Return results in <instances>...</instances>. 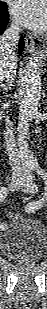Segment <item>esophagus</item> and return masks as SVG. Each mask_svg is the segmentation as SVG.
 <instances>
[{
    "mask_svg": "<svg viewBox=\"0 0 47 309\" xmlns=\"http://www.w3.org/2000/svg\"><path fill=\"white\" fill-rule=\"evenodd\" d=\"M35 48V41L32 36H27L25 38V50L28 53H32Z\"/></svg>",
    "mask_w": 47,
    "mask_h": 309,
    "instance_id": "obj_1",
    "label": "esophagus"
}]
</instances>
